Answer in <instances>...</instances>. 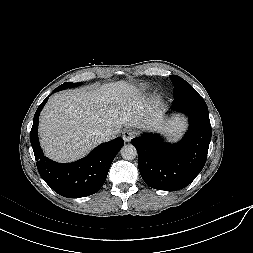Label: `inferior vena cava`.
Wrapping results in <instances>:
<instances>
[{"mask_svg": "<svg viewBox=\"0 0 253 253\" xmlns=\"http://www.w3.org/2000/svg\"><path fill=\"white\" fill-rule=\"evenodd\" d=\"M95 135L100 139L101 142H106L115 136V132L111 129H105L101 131L97 130L95 131Z\"/></svg>", "mask_w": 253, "mask_h": 253, "instance_id": "obj_1", "label": "inferior vena cava"}]
</instances>
